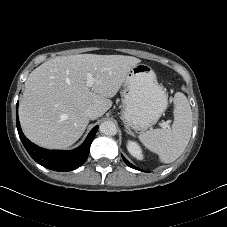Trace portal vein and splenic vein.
I'll list each match as a JSON object with an SVG mask.
<instances>
[{
	"instance_id": "portal-vein-and-splenic-vein-1",
	"label": "portal vein and splenic vein",
	"mask_w": 227,
	"mask_h": 227,
	"mask_svg": "<svg viewBox=\"0 0 227 227\" xmlns=\"http://www.w3.org/2000/svg\"><path fill=\"white\" fill-rule=\"evenodd\" d=\"M94 82H95V79H94L93 75L90 74V73H88V74H87L86 85H87L88 87H92L93 84H94ZM160 126H161L162 128L165 129V128L168 127V123H166V122L160 123Z\"/></svg>"
}]
</instances>
